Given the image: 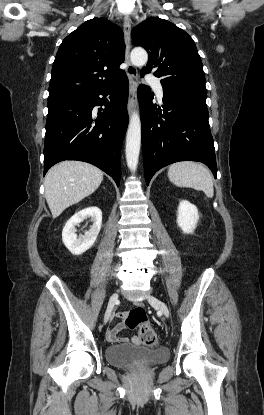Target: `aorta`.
I'll return each instance as SVG.
<instances>
[{
  "label": "aorta",
  "instance_id": "1",
  "mask_svg": "<svg viewBox=\"0 0 264 415\" xmlns=\"http://www.w3.org/2000/svg\"><path fill=\"white\" fill-rule=\"evenodd\" d=\"M131 62L135 66H143L148 61V54L143 48H134L131 51ZM141 146V122L137 112H134L130 118L126 134V161L128 168L135 172L138 165L139 153Z\"/></svg>",
  "mask_w": 264,
  "mask_h": 415
}]
</instances>
